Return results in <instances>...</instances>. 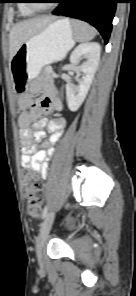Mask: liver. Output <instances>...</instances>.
Here are the masks:
<instances>
[{
    "label": "liver",
    "mask_w": 136,
    "mask_h": 296,
    "mask_svg": "<svg viewBox=\"0 0 136 296\" xmlns=\"http://www.w3.org/2000/svg\"><path fill=\"white\" fill-rule=\"evenodd\" d=\"M56 18L50 16H42L27 19L17 23L9 34V51L10 58L16 54L20 46L32 36L42 31L49 23Z\"/></svg>",
    "instance_id": "6515ba94"
}]
</instances>
